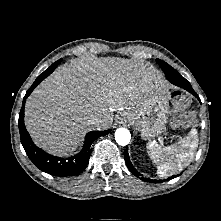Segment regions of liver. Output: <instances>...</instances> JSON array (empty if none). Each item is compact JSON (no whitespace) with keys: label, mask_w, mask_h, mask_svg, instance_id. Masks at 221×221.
Listing matches in <instances>:
<instances>
[{"label":"liver","mask_w":221,"mask_h":221,"mask_svg":"<svg viewBox=\"0 0 221 221\" xmlns=\"http://www.w3.org/2000/svg\"><path fill=\"white\" fill-rule=\"evenodd\" d=\"M168 90L156 69L127 59L86 56L58 67L29 96L25 125L45 151L67 156L74 152L96 116L98 129L113 123L115 109L133 107Z\"/></svg>","instance_id":"obj_1"}]
</instances>
